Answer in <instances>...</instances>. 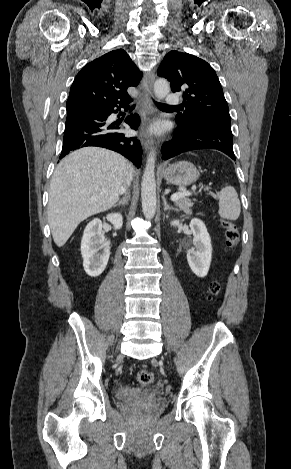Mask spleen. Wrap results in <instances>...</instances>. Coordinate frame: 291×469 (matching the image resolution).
Listing matches in <instances>:
<instances>
[{
    "mask_svg": "<svg viewBox=\"0 0 291 469\" xmlns=\"http://www.w3.org/2000/svg\"><path fill=\"white\" fill-rule=\"evenodd\" d=\"M219 199V215L228 220H237L241 206L238 194L234 187L226 185L218 194Z\"/></svg>",
    "mask_w": 291,
    "mask_h": 469,
    "instance_id": "3e777b00",
    "label": "spleen"
}]
</instances>
